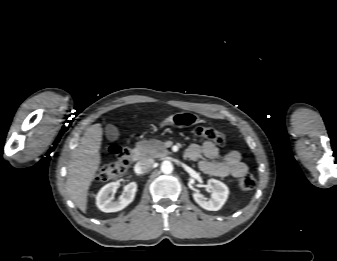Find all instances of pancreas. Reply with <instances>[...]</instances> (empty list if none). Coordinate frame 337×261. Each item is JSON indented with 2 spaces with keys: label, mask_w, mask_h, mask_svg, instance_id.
Here are the masks:
<instances>
[{
  "label": "pancreas",
  "mask_w": 337,
  "mask_h": 261,
  "mask_svg": "<svg viewBox=\"0 0 337 261\" xmlns=\"http://www.w3.org/2000/svg\"><path fill=\"white\" fill-rule=\"evenodd\" d=\"M137 148L141 151V155L144 158H159L169 153L164 143L156 139L140 141L137 143Z\"/></svg>",
  "instance_id": "cf45deb5"
}]
</instances>
